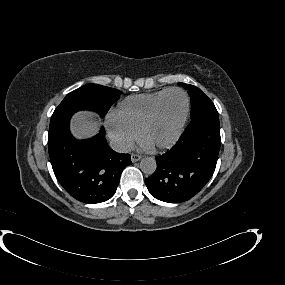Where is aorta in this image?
Returning <instances> with one entry per match:
<instances>
[{
	"label": "aorta",
	"mask_w": 285,
	"mask_h": 285,
	"mask_svg": "<svg viewBox=\"0 0 285 285\" xmlns=\"http://www.w3.org/2000/svg\"><path fill=\"white\" fill-rule=\"evenodd\" d=\"M157 168L156 160L152 157H144L140 162V169L145 174L151 175L155 172Z\"/></svg>",
	"instance_id": "1"
}]
</instances>
